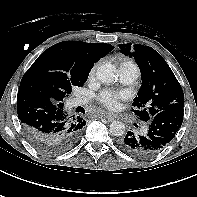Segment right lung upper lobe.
Listing matches in <instances>:
<instances>
[{
	"mask_svg": "<svg viewBox=\"0 0 197 197\" xmlns=\"http://www.w3.org/2000/svg\"><path fill=\"white\" fill-rule=\"evenodd\" d=\"M113 46L106 43L64 41L45 50L32 64L21 80L20 88H29V80L38 74H48L69 80L74 84L84 83L91 68L107 55ZM34 90V89H33Z\"/></svg>",
	"mask_w": 197,
	"mask_h": 197,
	"instance_id": "obj_1",
	"label": "right lung upper lobe"
}]
</instances>
